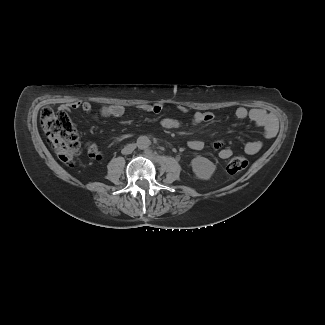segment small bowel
I'll return each instance as SVG.
<instances>
[{"mask_svg":"<svg viewBox=\"0 0 325 325\" xmlns=\"http://www.w3.org/2000/svg\"><path fill=\"white\" fill-rule=\"evenodd\" d=\"M82 109L84 112H90L92 106L89 102H73L67 105H59L56 108V113L61 119V125L65 127L69 132L75 131V124L72 122V119L69 116V110ZM141 109L148 113L160 114L164 110L163 104H154V105H142ZM177 110L181 113H187L188 109L184 106H177ZM124 114V108L120 105H107L103 106L100 109V115L102 117H114L118 118ZM235 116L238 119H250L256 125L260 126L264 135L267 139L274 137L276 133V124L274 119L268 115L262 109H248L245 106H239L235 110ZM214 116L210 112L196 111L193 113L190 122H184L182 120L164 117L160 120V125L164 129H178L184 128L187 126H195L201 123H209L213 121ZM217 146L221 147L219 151V156L222 159H228L232 156L233 151L229 147H223L221 143H218ZM188 147L192 150L199 151L203 149L204 142L200 139H192L188 142ZM263 147L262 141H250L247 142L244 146V151L253 155L259 152ZM87 153L88 156L94 160H102L103 153L98 149V147L93 143L87 144Z\"/></svg>","mask_w":325,"mask_h":325,"instance_id":"small-bowel-1","label":"small bowel"}]
</instances>
